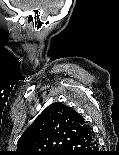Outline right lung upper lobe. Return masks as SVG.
I'll return each instance as SVG.
<instances>
[{"label":"right lung upper lobe","mask_w":119,"mask_h":155,"mask_svg":"<svg viewBox=\"0 0 119 155\" xmlns=\"http://www.w3.org/2000/svg\"><path fill=\"white\" fill-rule=\"evenodd\" d=\"M88 128L79 113L61 102H55L25 130L15 155H59L68 143Z\"/></svg>","instance_id":"right-lung-upper-lobe-1"}]
</instances>
